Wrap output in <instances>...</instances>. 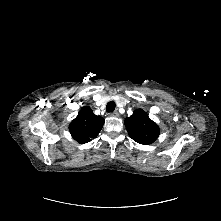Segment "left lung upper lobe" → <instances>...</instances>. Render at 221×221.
Returning <instances> with one entry per match:
<instances>
[{"label": "left lung upper lobe", "mask_w": 221, "mask_h": 221, "mask_svg": "<svg viewBox=\"0 0 221 221\" xmlns=\"http://www.w3.org/2000/svg\"><path fill=\"white\" fill-rule=\"evenodd\" d=\"M129 136L137 143L148 145L153 143L160 134L158 125L153 122L142 109H137L124 122Z\"/></svg>", "instance_id": "1"}]
</instances>
